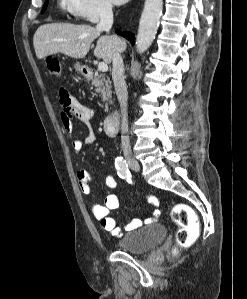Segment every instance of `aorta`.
Wrapping results in <instances>:
<instances>
[{
    "instance_id": "1",
    "label": "aorta",
    "mask_w": 247,
    "mask_h": 299,
    "mask_svg": "<svg viewBox=\"0 0 247 299\" xmlns=\"http://www.w3.org/2000/svg\"><path fill=\"white\" fill-rule=\"evenodd\" d=\"M162 8V0L145 1L136 39V50L138 53L145 52L155 39L162 14Z\"/></svg>"
}]
</instances>
